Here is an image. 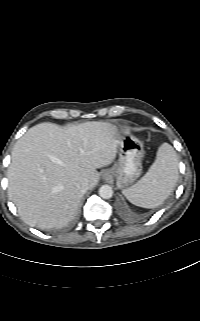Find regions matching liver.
<instances>
[{
    "label": "liver",
    "mask_w": 200,
    "mask_h": 321,
    "mask_svg": "<svg viewBox=\"0 0 200 321\" xmlns=\"http://www.w3.org/2000/svg\"><path fill=\"white\" fill-rule=\"evenodd\" d=\"M119 138L108 122L30 128L15 143L7 171L8 195L22 220L40 229L73 220L84 194L77 182L86 179L88 189L95 187L96 169L115 160Z\"/></svg>",
    "instance_id": "1"
}]
</instances>
